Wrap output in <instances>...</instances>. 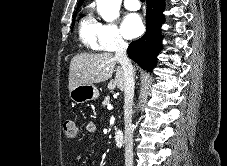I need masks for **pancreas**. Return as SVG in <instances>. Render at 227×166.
<instances>
[{"instance_id":"pancreas-1","label":"pancreas","mask_w":227,"mask_h":166,"mask_svg":"<svg viewBox=\"0 0 227 166\" xmlns=\"http://www.w3.org/2000/svg\"><path fill=\"white\" fill-rule=\"evenodd\" d=\"M110 104V98L109 97H105L104 101L102 102V105L104 107L108 106Z\"/></svg>"}]
</instances>
